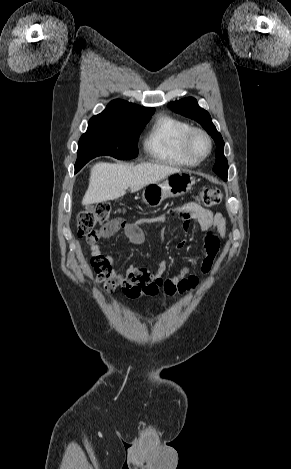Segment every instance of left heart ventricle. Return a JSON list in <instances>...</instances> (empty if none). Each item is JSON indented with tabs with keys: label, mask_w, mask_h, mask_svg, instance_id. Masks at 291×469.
<instances>
[{
	"label": "left heart ventricle",
	"mask_w": 291,
	"mask_h": 469,
	"mask_svg": "<svg viewBox=\"0 0 291 469\" xmlns=\"http://www.w3.org/2000/svg\"><path fill=\"white\" fill-rule=\"evenodd\" d=\"M192 148L197 155H203L206 153L208 145L204 137L196 135L192 142Z\"/></svg>",
	"instance_id": "left-heart-ventricle-1"
}]
</instances>
